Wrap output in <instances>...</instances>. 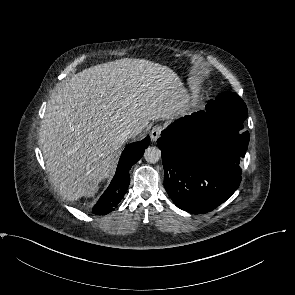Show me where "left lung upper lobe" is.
Listing matches in <instances>:
<instances>
[{
  "label": "left lung upper lobe",
  "instance_id": "left-lung-upper-lobe-1",
  "mask_svg": "<svg viewBox=\"0 0 295 295\" xmlns=\"http://www.w3.org/2000/svg\"><path fill=\"white\" fill-rule=\"evenodd\" d=\"M211 109L219 114L245 120L248 110L244 101L232 92H224L212 101Z\"/></svg>",
  "mask_w": 295,
  "mask_h": 295
}]
</instances>
